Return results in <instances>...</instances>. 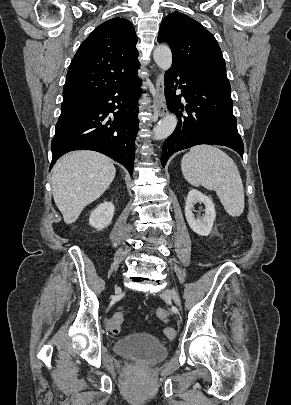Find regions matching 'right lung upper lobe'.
Segmentation results:
<instances>
[{
  "instance_id": "right-lung-upper-lobe-1",
  "label": "right lung upper lobe",
  "mask_w": 291,
  "mask_h": 405,
  "mask_svg": "<svg viewBox=\"0 0 291 405\" xmlns=\"http://www.w3.org/2000/svg\"><path fill=\"white\" fill-rule=\"evenodd\" d=\"M136 43L135 30L127 19L113 18L95 28L71 61L62 104L88 102L134 76L140 66Z\"/></svg>"
}]
</instances>
